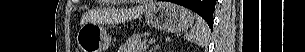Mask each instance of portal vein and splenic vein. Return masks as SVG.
Segmentation results:
<instances>
[{"mask_svg":"<svg viewBox=\"0 0 305 52\" xmlns=\"http://www.w3.org/2000/svg\"><path fill=\"white\" fill-rule=\"evenodd\" d=\"M155 43V39H150L149 44Z\"/></svg>","mask_w":305,"mask_h":52,"instance_id":"1","label":"portal vein and splenic vein"}]
</instances>
